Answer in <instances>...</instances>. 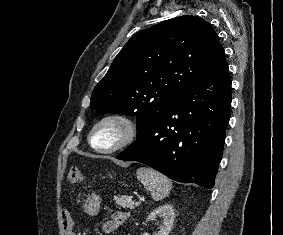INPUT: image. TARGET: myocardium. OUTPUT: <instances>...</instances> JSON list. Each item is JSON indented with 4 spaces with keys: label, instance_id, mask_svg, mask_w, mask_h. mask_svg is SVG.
I'll return each mask as SVG.
<instances>
[{
    "label": "myocardium",
    "instance_id": "obj_1",
    "mask_svg": "<svg viewBox=\"0 0 283 235\" xmlns=\"http://www.w3.org/2000/svg\"><path fill=\"white\" fill-rule=\"evenodd\" d=\"M110 122L120 124L122 126L123 133L115 144L106 148L99 147L94 143V136L102 125ZM138 133V124L131 116L122 112H112L103 115L94 123L89 132L88 141L95 151L102 154H111L131 145L136 140Z\"/></svg>",
    "mask_w": 283,
    "mask_h": 235
}]
</instances>
